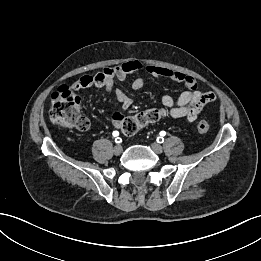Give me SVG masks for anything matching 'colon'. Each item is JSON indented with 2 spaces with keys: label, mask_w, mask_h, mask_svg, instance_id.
I'll list each match as a JSON object with an SVG mask.
<instances>
[{
  "label": "colon",
  "mask_w": 261,
  "mask_h": 261,
  "mask_svg": "<svg viewBox=\"0 0 261 261\" xmlns=\"http://www.w3.org/2000/svg\"><path fill=\"white\" fill-rule=\"evenodd\" d=\"M79 86L78 82L73 85H65L52 94L50 118L55 124L63 128L85 131L89 128L90 122L81 113L80 97L75 92L79 89ZM166 113L164 109L151 108L135 115L114 114V117L118 119L122 133L125 136H132L145 126L159 121ZM209 128L210 125L205 120L197 124V130L200 133H206Z\"/></svg>",
  "instance_id": "colon-1"
}]
</instances>
